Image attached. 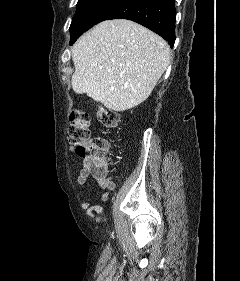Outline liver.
Listing matches in <instances>:
<instances>
[{"label": "liver", "mask_w": 240, "mask_h": 281, "mask_svg": "<svg viewBox=\"0 0 240 281\" xmlns=\"http://www.w3.org/2000/svg\"><path fill=\"white\" fill-rule=\"evenodd\" d=\"M72 89L109 110L138 106L152 93L170 63V47L159 35L126 19L107 20L72 47Z\"/></svg>", "instance_id": "liver-1"}]
</instances>
